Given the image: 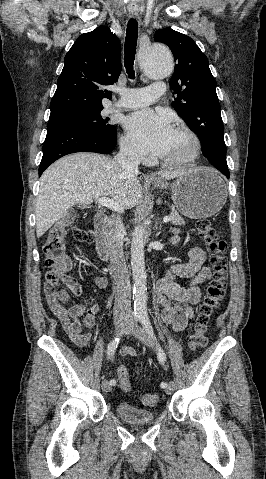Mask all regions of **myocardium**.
<instances>
[{"instance_id":"obj_1","label":"myocardium","mask_w":266,"mask_h":479,"mask_svg":"<svg viewBox=\"0 0 266 479\" xmlns=\"http://www.w3.org/2000/svg\"><path fill=\"white\" fill-rule=\"evenodd\" d=\"M175 132L182 133L188 137L190 142L189 147L183 154L171 159L162 158L160 162L166 167L182 168L190 165L196 160L200 153L201 142L197 134L186 126H178L175 129Z\"/></svg>"}]
</instances>
